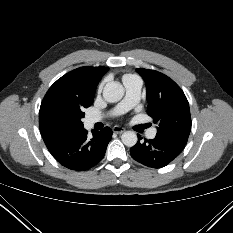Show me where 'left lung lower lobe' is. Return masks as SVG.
Instances as JSON below:
<instances>
[{"instance_id": "0a47b994", "label": "left lung lower lobe", "mask_w": 233, "mask_h": 233, "mask_svg": "<svg viewBox=\"0 0 233 233\" xmlns=\"http://www.w3.org/2000/svg\"><path fill=\"white\" fill-rule=\"evenodd\" d=\"M130 148V154L137 162L152 168H162L174 160L184 149L185 144L156 136L152 140L142 139Z\"/></svg>"}]
</instances>
